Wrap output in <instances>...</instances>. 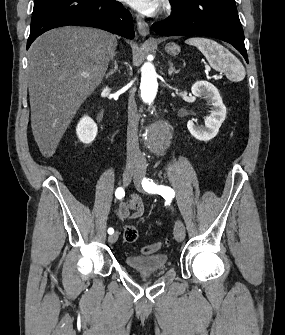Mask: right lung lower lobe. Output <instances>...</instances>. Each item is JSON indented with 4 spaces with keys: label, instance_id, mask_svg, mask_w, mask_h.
<instances>
[{
    "label": "right lung lower lobe",
    "instance_id": "1",
    "mask_svg": "<svg viewBox=\"0 0 285 335\" xmlns=\"http://www.w3.org/2000/svg\"><path fill=\"white\" fill-rule=\"evenodd\" d=\"M67 25L96 27L134 38L130 12L113 0H35L27 49L42 33Z\"/></svg>",
    "mask_w": 285,
    "mask_h": 335
}]
</instances>
